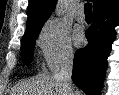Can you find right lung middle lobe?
Wrapping results in <instances>:
<instances>
[{"instance_id": "dd1d6c3e", "label": "right lung middle lobe", "mask_w": 119, "mask_h": 95, "mask_svg": "<svg viewBox=\"0 0 119 95\" xmlns=\"http://www.w3.org/2000/svg\"><path fill=\"white\" fill-rule=\"evenodd\" d=\"M42 27L26 32L22 38L21 56L24 65L29 66L33 59L35 40L38 37Z\"/></svg>"}]
</instances>
